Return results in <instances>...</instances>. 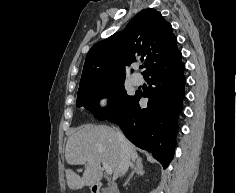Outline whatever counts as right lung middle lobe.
<instances>
[{
  "label": "right lung middle lobe",
  "instance_id": "obj_1",
  "mask_svg": "<svg viewBox=\"0 0 237 193\" xmlns=\"http://www.w3.org/2000/svg\"><path fill=\"white\" fill-rule=\"evenodd\" d=\"M104 97L110 98L108 107L99 108V100ZM132 97L124 90V79L115 80L78 90L76 105L84 106L98 120H105L118 114Z\"/></svg>",
  "mask_w": 237,
  "mask_h": 193
}]
</instances>
